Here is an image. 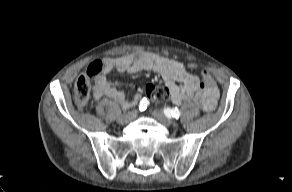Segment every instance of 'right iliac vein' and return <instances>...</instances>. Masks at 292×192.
<instances>
[{"label": "right iliac vein", "instance_id": "obj_1", "mask_svg": "<svg viewBox=\"0 0 292 192\" xmlns=\"http://www.w3.org/2000/svg\"><path fill=\"white\" fill-rule=\"evenodd\" d=\"M136 117H137V110H132V111L128 112L127 114L119 117L118 122L120 124H126V123L134 120Z\"/></svg>", "mask_w": 292, "mask_h": 192}]
</instances>
